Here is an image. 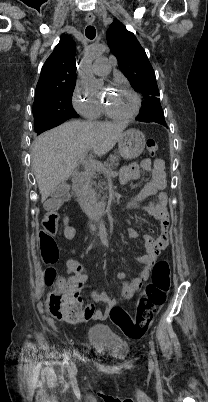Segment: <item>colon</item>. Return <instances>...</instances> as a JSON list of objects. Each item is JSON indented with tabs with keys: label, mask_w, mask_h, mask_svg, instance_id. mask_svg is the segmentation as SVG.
<instances>
[{
	"label": "colon",
	"mask_w": 208,
	"mask_h": 402,
	"mask_svg": "<svg viewBox=\"0 0 208 402\" xmlns=\"http://www.w3.org/2000/svg\"><path fill=\"white\" fill-rule=\"evenodd\" d=\"M146 149L154 154L157 151V143L154 140L146 142ZM43 226L47 232L40 234L42 240L39 248V255L42 256L45 265V280L50 281L53 286L51 292L47 293L45 308H49L50 314H64L69 319L80 316L89 317L94 305L84 303L82 295L83 288L74 289V283L69 277H58L57 269L58 255L60 250L57 241H54L58 229V219L53 213H48L43 220ZM67 238H74V229H67ZM72 252V251H71ZM170 288V268L167 260H160L155 263L151 273V281L146 285L143 295L137 302L135 318L127 313L121 305H113L109 309V316L118 329L129 339H140L143 337L157 312L166 302L167 292ZM75 293L78 297H75Z\"/></svg>",
	"instance_id": "5ec220e1"
}]
</instances>
